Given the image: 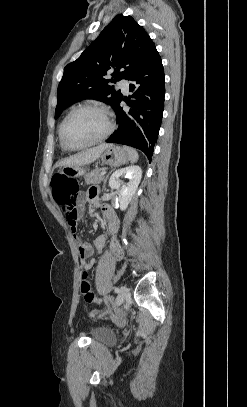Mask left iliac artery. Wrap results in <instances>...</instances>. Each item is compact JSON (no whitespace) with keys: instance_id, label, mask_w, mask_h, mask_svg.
I'll return each mask as SVG.
<instances>
[{"instance_id":"obj_1","label":"left iliac artery","mask_w":247,"mask_h":407,"mask_svg":"<svg viewBox=\"0 0 247 407\" xmlns=\"http://www.w3.org/2000/svg\"><path fill=\"white\" fill-rule=\"evenodd\" d=\"M115 292H119V289H118V288H115Z\"/></svg>"}]
</instances>
